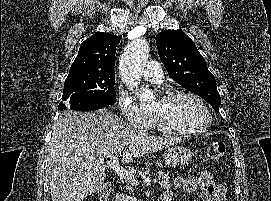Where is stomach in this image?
Here are the masks:
<instances>
[{"instance_id": "obj_1", "label": "stomach", "mask_w": 271, "mask_h": 201, "mask_svg": "<svg viewBox=\"0 0 271 201\" xmlns=\"http://www.w3.org/2000/svg\"><path fill=\"white\" fill-rule=\"evenodd\" d=\"M194 152L184 146H173L164 155L165 164L169 167L181 166L194 157Z\"/></svg>"}]
</instances>
